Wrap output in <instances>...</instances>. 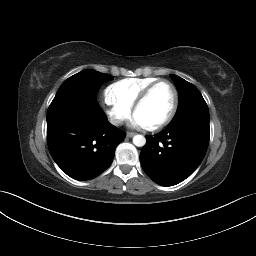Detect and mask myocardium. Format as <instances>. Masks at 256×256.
<instances>
[{
	"instance_id": "myocardium-1",
	"label": "myocardium",
	"mask_w": 256,
	"mask_h": 256,
	"mask_svg": "<svg viewBox=\"0 0 256 256\" xmlns=\"http://www.w3.org/2000/svg\"><path fill=\"white\" fill-rule=\"evenodd\" d=\"M160 84H167L172 88L173 94H174V99H173L171 109L165 118H163L161 121H159L156 124H153L150 126H145V128L149 131L161 129V128L165 127L167 124H169L171 122V120L173 119V117L177 111L178 104H179V92H178L176 86L169 80L161 79V80H158V81L150 84L149 86H147L143 90V92L138 96V98L136 99V101L134 102L133 107H132L133 114L135 115V112L137 111V109L142 104H144V102L147 100V98L149 97L151 92Z\"/></svg>"
}]
</instances>
